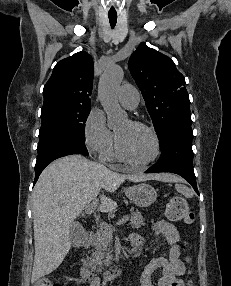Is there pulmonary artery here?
<instances>
[{"label":"pulmonary artery","mask_w":231,"mask_h":286,"mask_svg":"<svg viewBox=\"0 0 231 286\" xmlns=\"http://www.w3.org/2000/svg\"><path fill=\"white\" fill-rule=\"evenodd\" d=\"M119 102L127 109H135L140 101L137 89L129 84L122 85L118 91Z\"/></svg>","instance_id":"e3ab8cb5"}]
</instances>
